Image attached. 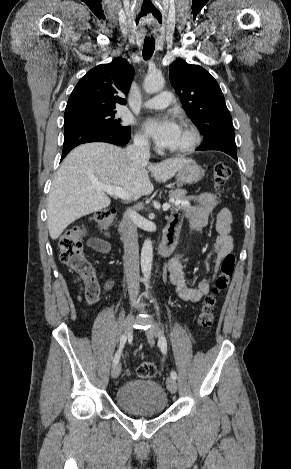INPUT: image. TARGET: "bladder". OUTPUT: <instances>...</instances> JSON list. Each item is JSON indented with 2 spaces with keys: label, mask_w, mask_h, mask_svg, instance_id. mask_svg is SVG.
I'll return each mask as SVG.
<instances>
[{
  "label": "bladder",
  "mask_w": 291,
  "mask_h": 469,
  "mask_svg": "<svg viewBox=\"0 0 291 469\" xmlns=\"http://www.w3.org/2000/svg\"><path fill=\"white\" fill-rule=\"evenodd\" d=\"M121 410L132 415H160L168 405V396L162 386L149 379H131L116 393Z\"/></svg>",
  "instance_id": "31cf9c89"
}]
</instances>
